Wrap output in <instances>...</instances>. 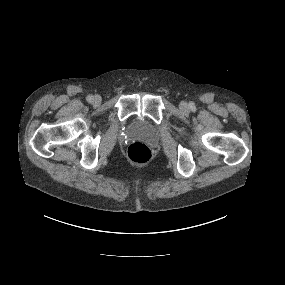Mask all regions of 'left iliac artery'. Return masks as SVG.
I'll use <instances>...</instances> for the list:
<instances>
[{
	"label": "left iliac artery",
	"instance_id": "1",
	"mask_svg": "<svg viewBox=\"0 0 285 285\" xmlns=\"http://www.w3.org/2000/svg\"><path fill=\"white\" fill-rule=\"evenodd\" d=\"M190 108H191L192 110H194V109H195L194 104H190Z\"/></svg>",
	"mask_w": 285,
	"mask_h": 285
}]
</instances>
